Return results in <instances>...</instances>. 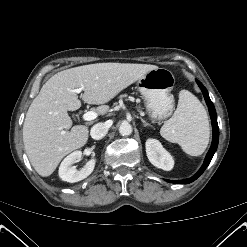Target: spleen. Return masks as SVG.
<instances>
[{
  "instance_id": "obj_1",
  "label": "spleen",
  "mask_w": 247,
  "mask_h": 247,
  "mask_svg": "<svg viewBox=\"0 0 247 247\" xmlns=\"http://www.w3.org/2000/svg\"><path fill=\"white\" fill-rule=\"evenodd\" d=\"M160 134L166 140L178 143L191 156H199L205 151L210 137L208 116L191 92L180 91L177 109L164 123Z\"/></svg>"
}]
</instances>
